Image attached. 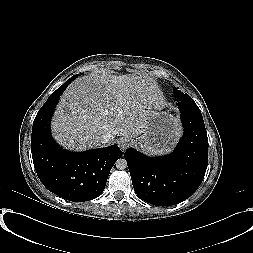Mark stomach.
<instances>
[{
	"label": "stomach",
	"mask_w": 253,
	"mask_h": 253,
	"mask_svg": "<svg viewBox=\"0 0 253 253\" xmlns=\"http://www.w3.org/2000/svg\"><path fill=\"white\" fill-rule=\"evenodd\" d=\"M181 133L178 120L169 112L152 110L145 121V128L134 145L149 155L170 152Z\"/></svg>",
	"instance_id": "stomach-1"
}]
</instances>
